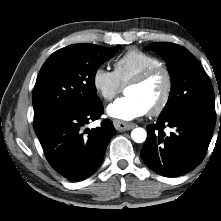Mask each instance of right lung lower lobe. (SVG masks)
Listing matches in <instances>:
<instances>
[{
    "label": "right lung lower lobe",
    "instance_id": "obj_1",
    "mask_svg": "<svg viewBox=\"0 0 221 221\" xmlns=\"http://www.w3.org/2000/svg\"><path fill=\"white\" fill-rule=\"evenodd\" d=\"M102 111L103 104L99 101L84 110L62 112L35 131L49 164L70 181L83 180L98 169L107 145L116 134L109 120L83 131V126L98 119Z\"/></svg>",
    "mask_w": 221,
    "mask_h": 221
}]
</instances>
